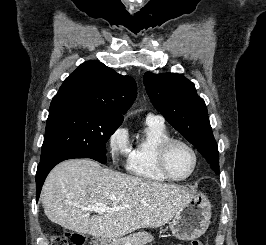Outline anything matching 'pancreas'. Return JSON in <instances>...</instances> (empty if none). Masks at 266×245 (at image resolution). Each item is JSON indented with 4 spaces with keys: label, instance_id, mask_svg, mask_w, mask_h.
Here are the masks:
<instances>
[{
    "label": "pancreas",
    "instance_id": "pancreas-1",
    "mask_svg": "<svg viewBox=\"0 0 266 245\" xmlns=\"http://www.w3.org/2000/svg\"><path fill=\"white\" fill-rule=\"evenodd\" d=\"M125 241H129L131 245H147V243H152L154 239L150 233L142 231V233H133V235H129V237H125V239H118V241H114L112 245H125Z\"/></svg>",
    "mask_w": 266,
    "mask_h": 245
}]
</instances>
